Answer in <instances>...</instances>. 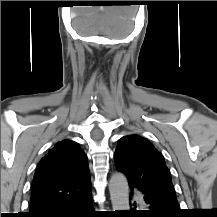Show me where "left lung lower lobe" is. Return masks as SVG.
Instances as JSON below:
<instances>
[{
    "label": "left lung lower lobe",
    "instance_id": "left-lung-lower-lobe-1",
    "mask_svg": "<svg viewBox=\"0 0 217 217\" xmlns=\"http://www.w3.org/2000/svg\"><path fill=\"white\" fill-rule=\"evenodd\" d=\"M144 201L148 205L147 211L129 212L128 214H135L139 216L149 217H178L179 212L171 209L165 202L156 200L152 197H145Z\"/></svg>",
    "mask_w": 217,
    "mask_h": 217
}]
</instances>
